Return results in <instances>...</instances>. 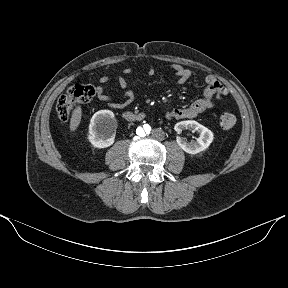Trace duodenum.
Returning a JSON list of instances; mask_svg holds the SVG:
<instances>
[{
	"label": "duodenum",
	"instance_id": "duodenum-1",
	"mask_svg": "<svg viewBox=\"0 0 288 288\" xmlns=\"http://www.w3.org/2000/svg\"><path fill=\"white\" fill-rule=\"evenodd\" d=\"M124 117L129 121H135V120H142L145 117V114L143 112L140 113H134L132 111H125Z\"/></svg>",
	"mask_w": 288,
	"mask_h": 288
}]
</instances>
